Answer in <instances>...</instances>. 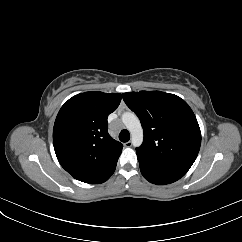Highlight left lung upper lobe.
<instances>
[{
	"label": "left lung upper lobe",
	"mask_w": 242,
	"mask_h": 242,
	"mask_svg": "<svg viewBox=\"0 0 242 242\" xmlns=\"http://www.w3.org/2000/svg\"><path fill=\"white\" fill-rule=\"evenodd\" d=\"M122 96L144 130L137 155L151 164L186 173L201 145L200 128L189 105L174 94L160 91L129 92Z\"/></svg>",
	"instance_id": "left-lung-upper-lobe-1"
}]
</instances>
